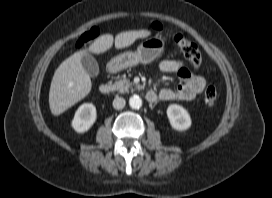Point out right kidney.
Listing matches in <instances>:
<instances>
[{
	"label": "right kidney",
	"instance_id": "right-kidney-1",
	"mask_svg": "<svg viewBox=\"0 0 272 198\" xmlns=\"http://www.w3.org/2000/svg\"><path fill=\"white\" fill-rule=\"evenodd\" d=\"M96 118V107L91 103H84L75 112L72 127L76 132L84 133L91 128Z\"/></svg>",
	"mask_w": 272,
	"mask_h": 198
}]
</instances>
